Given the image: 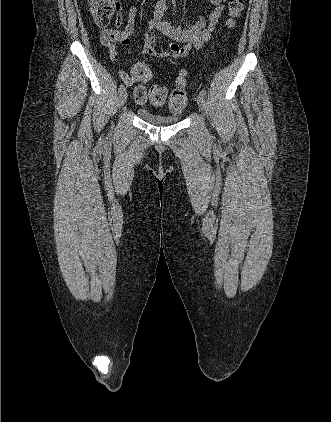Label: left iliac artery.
Returning a JSON list of instances; mask_svg holds the SVG:
<instances>
[{
	"label": "left iliac artery",
	"mask_w": 331,
	"mask_h": 422,
	"mask_svg": "<svg viewBox=\"0 0 331 422\" xmlns=\"http://www.w3.org/2000/svg\"><path fill=\"white\" fill-rule=\"evenodd\" d=\"M203 96H206V90L203 88L200 92Z\"/></svg>",
	"instance_id": "left-iliac-artery-1"
}]
</instances>
